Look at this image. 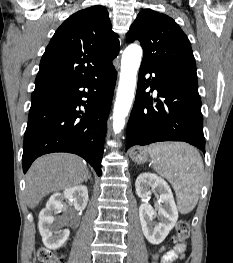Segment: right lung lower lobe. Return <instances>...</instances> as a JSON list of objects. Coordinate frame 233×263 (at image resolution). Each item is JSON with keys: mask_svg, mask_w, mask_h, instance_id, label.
Instances as JSON below:
<instances>
[{"mask_svg": "<svg viewBox=\"0 0 233 263\" xmlns=\"http://www.w3.org/2000/svg\"><path fill=\"white\" fill-rule=\"evenodd\" d=\"M115 81L110 63L89 78L32 92L23 144L24 173L43 154L70 152L83 157L101 175Z\"/></svg>", "mask_w": 233, "mask_h": 263, "instance_id": "obj_1", "label": "right lung lower lobe"}]
</instances>
